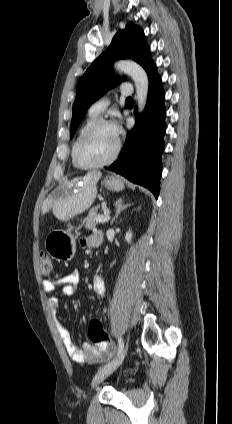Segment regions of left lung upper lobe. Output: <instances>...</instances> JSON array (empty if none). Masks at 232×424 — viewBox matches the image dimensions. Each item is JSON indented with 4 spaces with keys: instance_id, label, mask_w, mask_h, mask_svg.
Listing matches in <instances>:
<instances>
[{
    "instance_id": "5c2ea615",
    "label": "left lung upper lobe",
    "mask_w": 232,
    "mask_h": 424,
    "mask_svg": "<svg viewBox=\"0 0 232 424\" xmlns=\"http://www.w3.org/2000/svg\"><path fill=\"white\" fill-rule=\"evenodd\" d=\"M129 57L138 62L147 74L155 66L150 58L143 30L133 23H128L124 30L116 33L109 48L91 64L79 80L73 105L71 138L88 107L113 86V62Z\"/></svg>"
}]
</instances>
